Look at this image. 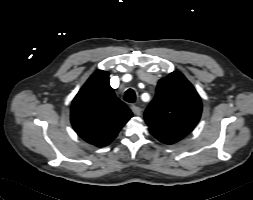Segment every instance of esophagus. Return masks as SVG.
Instances as JSON below:
<instances>
[{
  "mask_svg": "<svg viewBox=\"0 0 253 200\" xmlns=\"http://www.w3.org/2000/svg\"><path fill=\"white\" fill-rule=\"evenodd\" d=\"M131 110L132 112L137 115V116H140L142 114V110L140 107L136 106V105H132L131 106Z\"/></svg>",
  "mask_w": 253,
  "mask_h": 200,
  "instance_id": "34e87169",
  "label": "esophagus"
}]
</instances>
